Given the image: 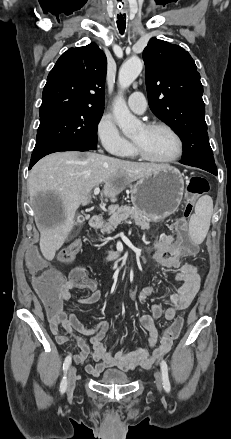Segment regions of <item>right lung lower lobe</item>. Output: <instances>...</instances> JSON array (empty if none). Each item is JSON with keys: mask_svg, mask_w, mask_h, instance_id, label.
Returning a JSON list of instances; mask_svg holds the SVG:
<instances>
[{"mask_svg": "<svg viewBox=\"0 0 231 439\" xmlns=\"http://www.w3.org/2000/svg\"><path fill=\"white\" fill-rule=\"evenodd\" d=\"M90 149L87 148H82V147H76V146H66V147H60V148H54V149H50V150H45V151H34L32 156H31V161H30V165H29V169L32 168V166L42 157L54 153V152H59V151H88Z\"/></svg>", "mask_w": 231, "mask_h": 439, "instance_id": "obj_1", "label": "right lung lower lobe"}]
</instances>
